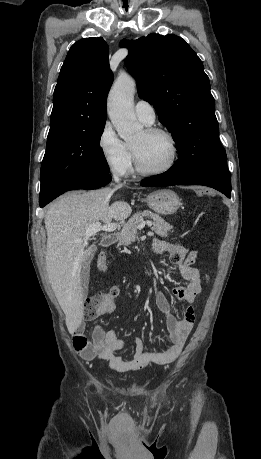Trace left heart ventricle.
<instances>
[{
  "label": "left heart ventricle",
  "mask_w": 261,
  "mask_h": 459,
  "mask_svg": "<svg viewBox=\"0 0 261 459\" xmlns=\"http://www.w3.org/2000/svg\"><path fill=\"white\" fill-rule=\"evenodd\" d=\"M141 165L146 169L164 167L171 157L169 140L160 134H147L144 130L132 141Z\"/></svg>",
  "instance_id": "1"
}]
</instances>
